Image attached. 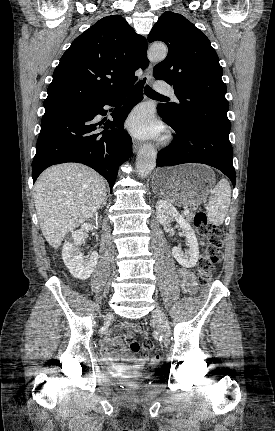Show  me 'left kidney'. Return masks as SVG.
<instances>
[{
  "label": "left kidney",
  "instance_id": "1",
  "mask_svg": "<svg viewBox=\"0 0 275 431\" xmlns=\"http://www.w3.org/2000/svg\"><path fill=\"white\" fill-rule=\"evenodd\" d=\"M157 218L160 224L165 225L172 219H175L180 225L182 232L187 239L189 249L183 252L180 247H173L172 254L180 265L185 268L194 267L199 258L198 241L193 228L190 224L180 215L172 204L165 200H159L156 204Z\"/></svg>",
  "mask_w": 275,
  "mask_h": 431
}]
</instances>
